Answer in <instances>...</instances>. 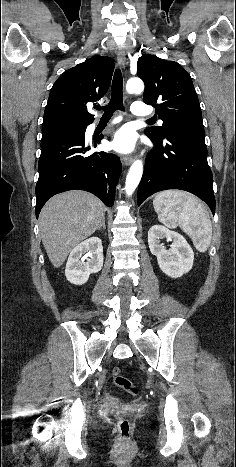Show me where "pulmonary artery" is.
<instances>
[{
	"label": "pulmonary artery",
	"mask_w": 236,
	"mask_h": 467,
	"mask_svg": "<svg viewBox=\"0 0 236 467\" xmlns=\"http://www.w3.org/2000/svg\"><path fill=\"white\" fill-rule=\"evenodd\" d=\"M131 112L135 116H138V117L150 115V111L147 108V106L144 103H141V102L134 103L132 108H131ZM119 121H120V118H116L111 123H117Z\"/></svg>",
	"instance_id": "pulmonary-artery-1"
}]
</instances>
